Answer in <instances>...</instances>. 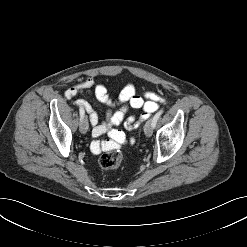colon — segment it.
Segmentation results:
<instances>
[{"instance_id": "obj_1", "label": "colon", "mask_w": 247, "mask_h": 247, "mask_svg": "<svg viewBox=\"0 0 247 247\" xmlns=\"http://www.w3.org/2000/svg\"><path fill=\"white\" fill-rule=\"evenodd\" d=\"M115 140H112L106 144L107 148L105 152L99 158V166L104 170L117 169L121 164V155L117 151L118 143L123 139V135L120 133L115 134Z\"/></svg>"}]
</instances>
